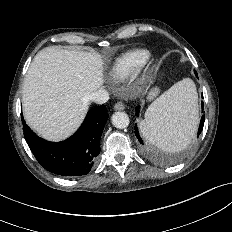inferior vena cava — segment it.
<instances>
[{
	"instance_id": "inferior-vena-cava-1",
	"label": "inferior vena cava",
	"mask_w": 232,
	"mask_h": 232,
	"mask_svg": "<svg viewBox=\"0 0 232 232\" xmlns=\"http://www.w3.org/2000/svg\"><path fill=\"white\" fill-rule=\"evenodd\" d=\"M88 99L95 103L103 104L109 100V93L104 89H99L89 94Z\"/></svg>"
}]
</instances>
